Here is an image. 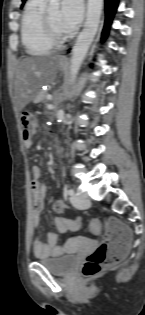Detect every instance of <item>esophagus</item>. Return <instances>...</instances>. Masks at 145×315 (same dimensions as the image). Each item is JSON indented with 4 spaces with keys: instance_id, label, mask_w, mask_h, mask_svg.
<instances>
[{
    "instance_id": "1",
    "label": "esophagus",
    "mask_w": 145,
    "mask_h": 315,
    "mask_svg": "<svg viewBox=\"0 0 145 315\" xmlns=\"http://www.w3.org/2000/svg\"><path fill=\"white\" fill-rule=\"evenodd\" d=\"M62 61L63 62H68V58L64 57V58H62Z\"/></svg>"
}]
</instances>
